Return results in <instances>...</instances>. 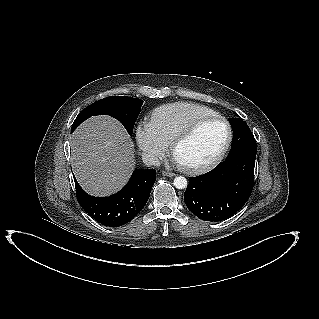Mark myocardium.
<instances>
[{
    "instance_id": "f54148a6",
    "label": "myocardium",
    "mask_w": 319,
    "mask_h": 319,
    "mask_svg": "<svg viewBox=\"0 0 319 319\" xmlns=\"http://www.w3.org/2000/svg\"><path fill=\"white\" fill-rule=\"evenodd\" d=\"M212 119H218L222 121L226 127V138L225 141L218 151V153L208 162L201 164V165H194V166H189V165H183L179 163V166L183 171L189 174H200L207 172L217 166L222 159L224 158L225 154L227 153L229 146L232 141V128L229 123V121L223 117L220 114L213 113V114H208V115H203L200 117H197L193 119L191 122H189L176 136L172 139L170 142V152L174 156V151L176 147L181 144L183 141L188 139L194 131L197 129V127L202 124L203 122H206L208 120Z\"/></svg>"
}]
</instances>
